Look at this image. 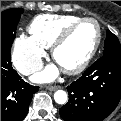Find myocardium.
<instances>
[{"label":"myocardium","mask_w":121,"mask_h":121,"mask_svg":"<svg viewBox=\"0 0 121 121\" xmlns=\"http://www.w3.org/2000/svg\"><path fill=\"white\" fill-rule=\"evenodd\" d=\"M84 22H92L96 26V30H97L96 41H95L93 47L91 48V50L89 51V53L85 56V58L78 65H76L72 68L62 69L63 72L68 75H76V74L81 73L84 69H86V67L90 64V62L96 55V53L101 45V42H102V28H101L100 23L98 22V20H96L95 18H92V17H81L80 19H78L75 22L68 25L58 35V37L55 39V41L53 42V44L51 46L52 58L56 61V53H57V50L59 49V47H61L68 40V38L70 37L72 32L79 25H81Z\"/></svg>","instance_id":"myocardium-1"}]
</instances>
